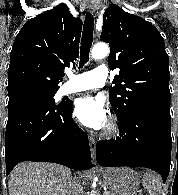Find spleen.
Masks as SVG:
<instances>
[{"label":"spleen","instance_id":"3e777b00","mask_svg":"<svg viewBox=\"0 0 178 195\" xmlns=\"http://www.w3.org/2000/svg\"><path fill=\"white\" fill-rule=\"evenodd\" d=\"M143 187L148 190L150 195H160L161 194V178L158 174L153 172H146L142 180Z\"/></svg>","mask_w":178,"mask_h":195}]
</instances>
